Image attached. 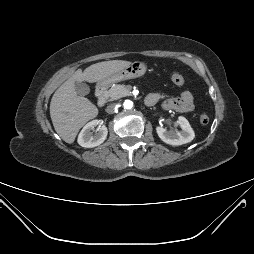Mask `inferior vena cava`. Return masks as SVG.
<instances>
[{
    "instance_id": "602c4592",
    "label": "inferior vena cava",
    "mask_w": 254,
    "mask_h": 254,
    "mask_svg": "<svg viewBox=\"0 0 254 254\" xmlns=\"http://www.w3.org/2000/svg\"><path fill=\"white\" fill-rule=\"evenodd\" d=\"M116 108H117V104L112 103V104L107 106L106 111H107V113L112 114V113H114Z\"/></svg>"
}]
</instances>
